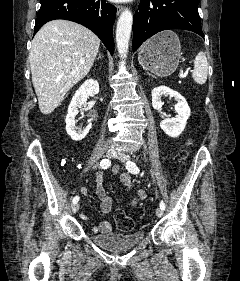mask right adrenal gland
<instances>
[{
  "label": "right adrenal gland",
  "mask_w": 240,
  "mask_h": 281,
  "mask_svg": "<svg viewBox=\"0 0 240 281\" xmlns=\"http://www.w3.org/2000/svg\"><path fill=\"white\" fill-rule=\"evenodd\" d=\"M101 58H103V55H102L101 53H99V56H98L97 59L99 60V59H101Z\"/></svg>",
  "instance_id": "right-adrenal-gland-1"
}]
</instances>
